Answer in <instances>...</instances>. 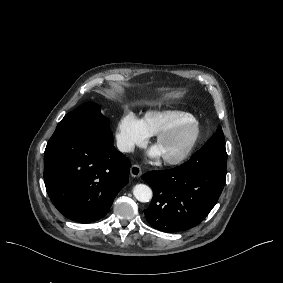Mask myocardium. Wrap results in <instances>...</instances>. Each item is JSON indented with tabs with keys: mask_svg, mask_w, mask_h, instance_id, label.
<instances>
[{
	"mask_svg": "<svg viewBox=\"0 0 283 283\" xmlns=\"http://www.w3.org/2000/svg\"><path fill=\"white\" fill-rule=\"evenodd\" d=\"M186 126L190 127V136L183 151L174 158H164V163L169 166H177L184 163L193 154L201 136L200 122L194 117H185L177 121L170 128L158 133L157 143L175 138Z\"/></svg>",
	"mask_w": 283,
	"mask_h": 283,
	"instance_id": "obj_1",
	"label": "myocardium"
}]
</instances>
